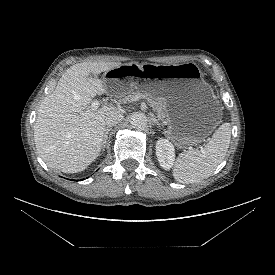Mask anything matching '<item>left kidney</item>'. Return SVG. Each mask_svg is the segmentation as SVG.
<instances>
[{
	"label": "left kidney",
	"instance_id": "1",
	"mask_svg": "<svg viewBox=\"0 0 275 275\" xmlns=\"http://www.w3.org/2000/svg\"><path fill=\"white\" fill-rule=\"evenodd\" d=\"M156 156L163 169H171L175 159L173 145L166 139H159L156 143Z\"/></svg>",
	"mask_w": 275,
	"mask_h": 275
}]
</instances>
